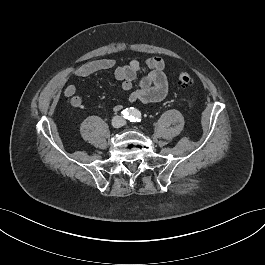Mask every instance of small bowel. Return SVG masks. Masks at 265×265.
<instances>
[{
  "mask_svg": "<svg viewBox=\"0 0 265 265\" xmlns=\"http://www.w3.org/2000/svg\"><path fill=\"white\" fill-rule=\"evenodd\" d=\"M165 67L164 60L159 57L148 58L144 63L132 60L125 65L117 67H115V62L112 59L105 58L77 66L72 70V74L76 77H87L97 72L114 68V76L121 82L120 91L130 92L128 96L130 102L153 103L163 100L168 93ZM142 71L147 72V74L136 83L137 77ZM63 94L69 98L72 107H82L83 99L77 94L76 87L73 84L65 85ZM121 109V104L114 106L115 111Z\"/></svg>",
  "mask_w": 265,
  "mask_h": 265,
  "instance_id": "obj_1",
  "label": "small bowel"
}]
</instances>
